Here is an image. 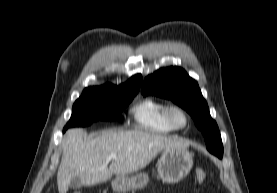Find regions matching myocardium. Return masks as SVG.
Masks as SVG:
<instances>
[{"instance_id": "f54148a6", "label": "myocardium", "mask_w": 277, "mask_h": 193, "mask_svg": "<svg viewBox=\"0 0 277 193\" xmlns=\"http://www.w3.org/2000/svg\"><path fill=\"white\" fill-rule=\"evenodd\" d=\"M175 113H180L184 117V123L183 124H178L175 121ZM166 118L169 123V125L174 129V130H184L185 128L188 127L190 123V116L188 112L180 105L177 104H172L169 105L166 111Z\"/></svg>"}]
</instances>
